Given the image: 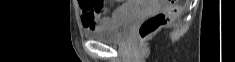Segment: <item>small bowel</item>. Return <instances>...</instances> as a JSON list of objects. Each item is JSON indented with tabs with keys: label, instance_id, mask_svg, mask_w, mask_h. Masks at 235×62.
<instances>
[{
	"label": "small bowel",
	"instance_id": "small-bowel-1",
	"mask_svg": "<svg viewBox=\"0 0 235 62\" xmlns=\"http://www.w3.org/2000/svg\"><path fill=\"white\" fill-rule=\"evenodd\" d=\"M92 1H80V7L82 9V22L86 29L92 30L99 27L102 23H105L109 20V17L106 15L103 17V20L100 21L101 8L95 9L92 7Z\"/></svg>",
	"mask_w": 235,
	"mask_h": 62
}]
</instances>
